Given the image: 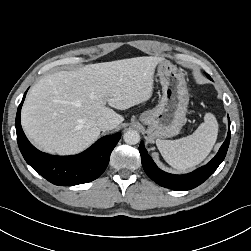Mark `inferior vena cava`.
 Returning <instances> with one entry per match:
<instances>
[{
    "label": "inferior vena cava",
    "instance_id": "1",
    "mask_svg": "<svg viewBox=\"0 0 251 251\" xmlns=\"http://www.w3.org/2000/svg\"><path fill=\"white\" fill-rule=\"evenodd\" d=\"M97 125L103 131L111 130L115 128V124L111 120H108L103 117L97 120Z\"/></svg>",
    "mask_w": 251,
    "mask_h": 251
}]
</instances>
